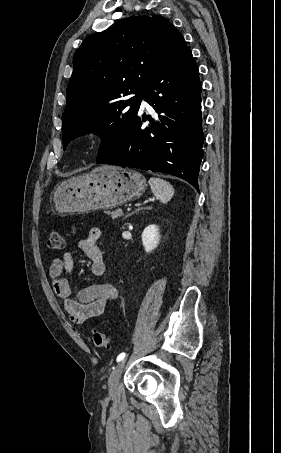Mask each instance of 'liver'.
I'll use <instances>...</instances> for the list:
<instances>
[{
	"label": "liver",
	"instance_id": "6515ba94",
	"mask_svg": "<svg viewBox=\"0 0 281 453\" xmlns=\"http://www.w3.org/2000/svg\"><path fill=\"white\" fill-rule=\"evenodd\" d=\"M108 164H104V166H97V168H93L92 172H97V170H104L107 168Z\"/></svg>",
	"mask_w": 281,
	"mask_h": 453
}]
</instances>
